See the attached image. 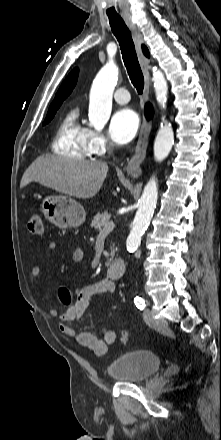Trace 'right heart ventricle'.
Instances as JSON below:
<instances>
[{
	"label": "right heart ventricle",
	"mask_w": 221,
	"mask_h": 440,
	"mask_svg": "<svg viewBox=\"0 0 221 440\" xmlns=\"http://www.w3.org/2000/svg\"><path fill=\"white\" fill-rule=\"evenodd\" d=\"M78 118L77 107L70 108L63 115L55 131L52 149L58 155L85 160L92 155L88 142L89 129Z\"/></svg>",
	"instance_id": "right-heart-ventricle-1"
}]
</instances>
